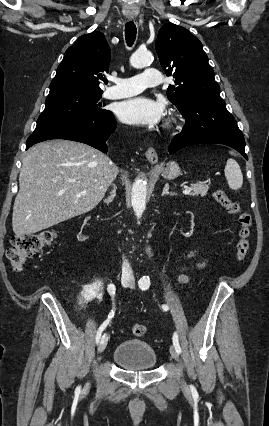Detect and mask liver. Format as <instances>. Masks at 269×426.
I'll return each mask as SVG.
<instances>
[{
  "mask_svg": "<svg viewBox=\"0 0 269 426\" xmlns=\"http://www.w3.org/2000/svg\"><path fill=\"white\" fill-rule=\"evenodd\" d=\"M117 174L109 157L84 143L57 139L34 145L22 161L14 233L30 235L91 211Z\"/></svg>",
  "mask_w": 269,
  "mask_h": 426,
  "instance_id": "liver-1",
  "label": "liver"
}]
</instances>
